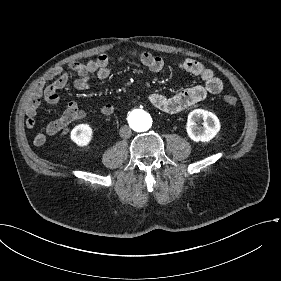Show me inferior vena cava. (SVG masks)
I'll list each match as a JSON object with an SVG mask.
<instances>
[{"instance_id":"obj_1","label":"inferior vena cava","mask_w":281,"mask_h":281,"mask_svg":"<svg viewBox=\"0 0 281 281\" xmlns=\"http://www.w3.org/2000/svg\"><path fill=\"white\" fill-rule=\"evenodd\" d=\"M131 129L129 126L127 125H124L120 128V131H119V134H120V137L124 138V139H128L130 138L131 136Z\"/></svg>"}]
</instances>
